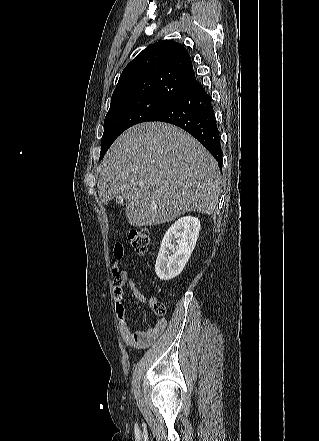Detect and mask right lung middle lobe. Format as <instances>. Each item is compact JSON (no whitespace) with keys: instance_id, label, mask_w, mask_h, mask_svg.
Masks as SVG:
<instances>
[{"instance_id":"obj_1","label":"right lung middle lobe","mask_w":319,"mask_h":441,"mask_svg":"<svg viewBox=\"0 0 319 441\" xmlns=\"http://www.w3.org/2000/svg\"><path fill=\"white\" fill-rule=\"evenodd\" d=\"M172 101L157 97H139L110 107L104 120L101 160L115 139L127 128L148 121Z\"/></svg>"}]
</instances>
